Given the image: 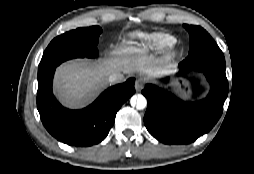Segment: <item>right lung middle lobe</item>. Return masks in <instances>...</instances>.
Here are the masks:
<instances>
[{
	"instance_id": "dd1d6c3e",
	"label": "right lung middle lobe",
	"mask_w": 254,
	"mask_h": 174,
	"mask_svg": "<svg viewBox=\"0 0 254 174\" xmlns=\"http://www.w3.org/2000/svg\"><path fill=\"white\" fill-rule=\"evenodd\" d=\"M101 33L99 26H92L78 28L54 38L43 53L38 66V77L69 59L95 58L98 55L97 44Z\"/></svg>"
}]
</instances>
